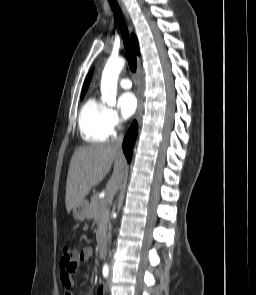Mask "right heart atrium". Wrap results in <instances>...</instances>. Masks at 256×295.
<instances>
[{
	"label": "right heart atrium",
	"instance_id": "obj_1",
	"mask_svg": "<svg viewBox=\"0 0 256 295\" xmlns=\"http://www.w3.org/2000/svg\"><path fill=\"white\" fill-rule=\"evenodd\" d=\"M106 123L110 135H115L121 128V119L117 111L113 108H108L106 113Z\"/></svg>",
	"mask_w": 256,
	"mask_h": 295
}]
</instances>
